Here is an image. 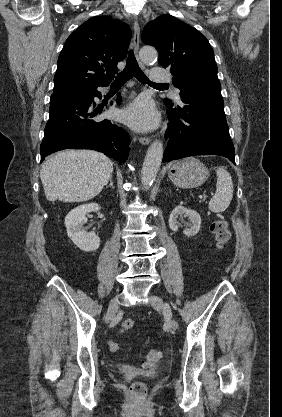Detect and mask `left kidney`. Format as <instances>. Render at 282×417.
I'll list each match as a JSON object with an SVG mask.
<instances>
[{
    "label": "left kidney",
    "instance_id": "5707ae66",
    "mask_svg": "<svg viewBox=\"0 0 282 417\" xmlns=\"http://www.w3.org/2000/svg\"><path fill=\"white\" fill-rule=\"evenodd\" d=\"M183 215L190 219V227L189 229H184L183 233L187 237H194L200 231L201 217L199 213L192 211V209H186V206H182V204H178L173 209L169 219V227L171 231H178L180 223H178L177 219L178 217H183Z\"/></svg>",
    "mask_w": 282,
    "mask_h": 417
}]
</instances>
